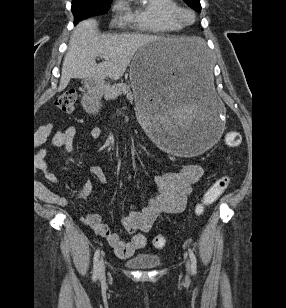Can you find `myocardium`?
Segmentation results:
<instances>
[{
	"label": "myocardium",
	"mask_w": 286,
	"mask_h": 308,
	"mask_svg": "<svg viewBox=\"0 0 286 308\" xmlns=\"http://www.w3.org/2000/svg\"><path fill=\"white\" fill-rule=\"evenodd\" d=\"M170 14L182 26L192 25L196 21V14L193 10L178 4L171 10Z\"/></svg>",
	"instance_id": "obj_1"
}]
</instances>
